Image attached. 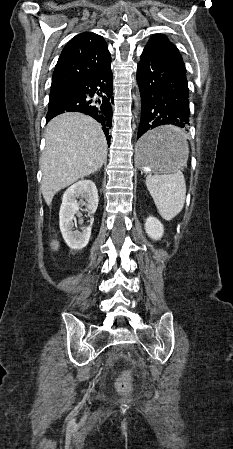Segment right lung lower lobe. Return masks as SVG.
<instances>
[{
  "mask_svg": "<svg viewBox=\"0 0 233 449\" xmlns=\"http://www.w3.org/2000/svg\"><path fill=\"white\" fill-rule=\"evenodd\" d=\"M110 64L111 61L102 69L71 86L74 91L72 97L49 104L46 122L64 112L85 113L101 124L110 145L109 131L113 104V74Z\"/></svg>",
  "mask_w": 233,
  "mask_h": 449,
  "instance_id": "1",
  "label": "right lung lower lobe"
}]
</instances>
